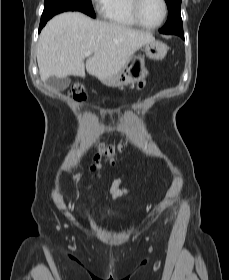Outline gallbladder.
Instances as JSON below:
<instances>
[{"mask_svg":"<svg viewBox=\"0 0 229 280\" xmlns=\"http://www.w3.org/2000/svg\"><path fill=\"white\" fill-rule=\"evenodd\" d=\"M71 80L68 77L64 78H57V77H50L47 80V84L49 87L57 90V91H64L70 85Z\"/></svg>","mask_w":229,"mask_h":280,"instance_id":"1","label":"gallbladder"}]
</instances>
